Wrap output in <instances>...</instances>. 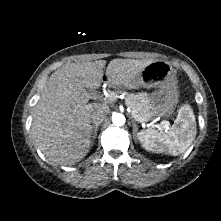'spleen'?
Here are the masks:
<instances>
[{
    "instance_id": "3e777b00",
    "label": "spleen",
    "mask_w": 221,
    "mask_h": 221,
    "mask_svg": "<svg viewBox=\"0 0 221 221\" xmlns=\"http://www.w3.org/2000/svg\"><path fill=\"white\" fill-rule=\"evenodd\" d=\"M196 121L189 105L180 108L176 124L167 132L149 128L137 134L142 146L152 152L178 155L185 152L196 136Z\"/></svg>"
}]
</instances>
